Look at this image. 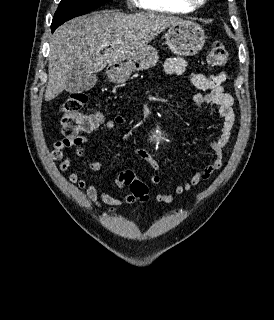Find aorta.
Returning a JSON list of instances; mask_svg holds the SVG:
<instances>
[{"mask_svg":"<svg viewBox=\"0 0 274 320\" xmlns=\"http://www.w3.org/2000/svg\"><path fill=\"white\" fill-rule=\"evenodd\" d=\"M151 139L153 140V142L155 144H160L163 140H164V136L163 133L160 129H157V131H155L151 137Z\"/></svg>","mask_w":274,"mask_h":320,"instance_id":"obj_1","label":"aorta"}]
</instances>
